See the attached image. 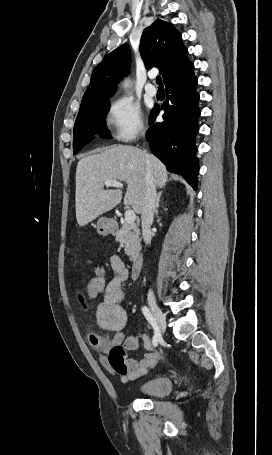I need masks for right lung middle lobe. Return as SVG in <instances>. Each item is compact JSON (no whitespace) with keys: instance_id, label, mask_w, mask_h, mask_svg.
Wrapping results in <instances>:
<instances>
[{"instance_id":"right-lung-middle-lobe-1","label":"right lung middle lobe","mask_w":272,"mask_h":455,"mask_svg":"<svg viewBox=\"0 0 272 455\" xmlns=\"http://www.w3.org/2000/svg\"><path fill=\"white\" fill-rule=\"evenodd\" d=\"M109 101L92 109L79 112L73 130V151L76 154L96 135L102 138H111L105 124V117L109 111Z\"/></svg>"}]
</instances>
